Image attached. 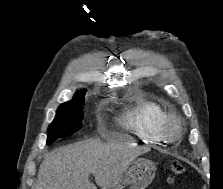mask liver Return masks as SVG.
<instances>
[{
	"label": "liver",
	"mask_w": 223,
	"mask_h": 189,
	"mask_svg": "<svg viewBox=\"0 0 223 189\" xmlns=\"http://www.w3.org/2000/svg\"><path fill=\"white\" fill-rule=\"evenodd\" d=\"M140 153L131 145L93 139L60 147L40 165L35 189H97L90 174L105 189Z\"/></svg>",
	"instance_id": "liver-1"
}]
</instances>
